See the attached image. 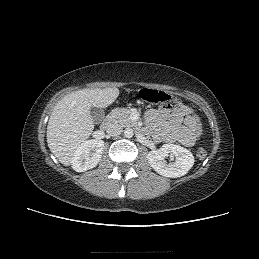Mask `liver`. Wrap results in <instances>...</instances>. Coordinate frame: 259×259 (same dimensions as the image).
I'll return each mask as SVG.
<instances>
[{"label":"liver","instance_id":"1","mask_svg":"<svg viewBox=\"0 0 259 259\" xmlns=\"http://www.w3.org/2000/svg\"><path fill=\"white\" fill-rule=\"evenodd\" d=\"M119 96L118 88L82 89L69 93L53 108L47 125V143L53 155L65 166L74 151L94 129L90 108H106Z\"/></svg>","mask_w":259,"mask_h":259}]
</instances>
